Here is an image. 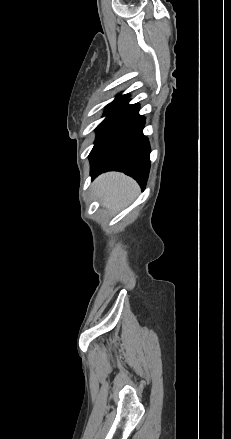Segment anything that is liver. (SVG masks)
Listing matches in <instances>:
<instances>
[{"label": "liver", "instance_id": "liver-1", "mask_svg": "<svg viewBox=\"0 0 231 439\" xmlns=\"http://www.w3.org/2000/svg\"><path fill=\"white\" fill-rule=\"evenodd\" d=\"M94 187L102 205L110 210L128 205L139 190L132 178L118 172L99 176L94 182Z\"/></svg>", "mask_w": 231, "mask_h": 439}]
</instances>
